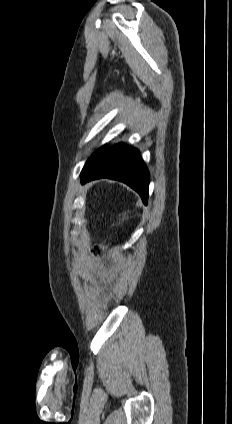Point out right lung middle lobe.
<instances>
[{
    "instance_id": "obj_1",
    "label": "right lung middle lobe",
    "mask_w": 232,
    "mask_h": 424,
    "mask_svg": "<svg viewBox=\"0 0 232 424\" xmlns=\"http://www.w3.org/2000/svg\"><path fill=\"white\" fill-rule=\"evenodd\" d=\"M104 147L99 148L98 150H96L92 156L88 159V161L86 162L82 172L96 159V157L100 154V152L102 151Z\"/></svg>"
}]
</instances>
